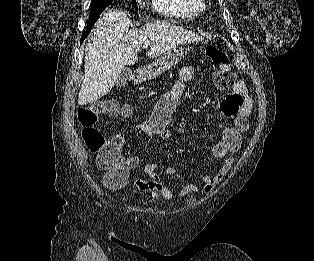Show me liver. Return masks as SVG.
I'll return each mask as SVG.
<instances>
[{
    "instance_id": "1",
    "label": "liver",
    "mask_w": 314,
    "mask_h": 261,
    "mask_svg": "<svg viewBox=\"0 0 314 261\" xmlns=\"http://www.w3.org/2000/svg\"><path fill=\"white\" fill-rule=\"evenodd\" d=\"M94 38L85 48V78L78 104L86 105L108 94L126 65H134L137 52L149 44L148 57H158L185 43L202 40L199 35L174 24L147 23L137 29L122 10L109 9L93 29Z\"/></svg>"
}]
</instances>
